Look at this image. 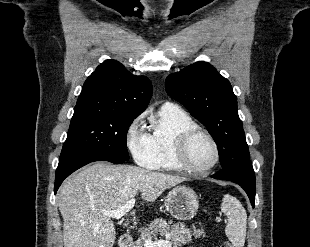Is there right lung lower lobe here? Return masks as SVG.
<instances>
[{
	"label": "right lung lower lobe",
	"mask_w": 310,
	"mask_h": 247,
	"mask_svg": "<svg viewBox=\"0 0 310 247\" xmlns=\"http://www.w3.org/2000/svg\"><path fill=\"white\" fill-rule=\"evenodd\" d=\"M94 161H108L115 164H122L124 160L104 155H75L60 160L55 177L54 193L57 192L63 180L77 169Z\"/></svg>",
	"instance_id": "98d812e1"
}]
</instances>
